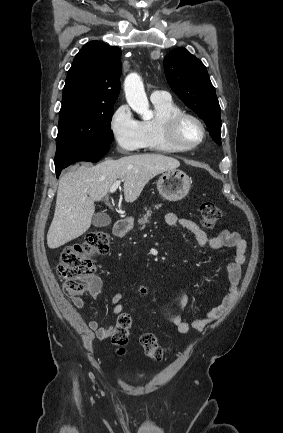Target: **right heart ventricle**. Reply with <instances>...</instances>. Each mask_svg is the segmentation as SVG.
<instances>
[{"label":"right heart ventricle","instance_id":"obj_1","mask_svg":"<svg viewBox=\"0 0 283 433\" xmlns=\"http://www.w3.org/2000/svg\"><path fill=\"white\" fill-rule=\"evenodd\" d=\"M154 118L141 123L148 145H156L157 150L164 153H173L176 150L167 142L166 125L168 119L181 108L172 100L166 99L153 102Z\"/></svg>","mask_w":283,"mask_h":433}]
</instances>
